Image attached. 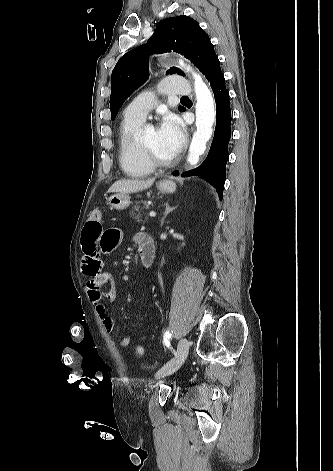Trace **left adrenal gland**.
I'll return each mask as SVG.
<instances>
[{
    "instance_id": "left-adrenal-gland-1",
    "label": "left adrenal gland",
    "mask_w": 333,
    "mask_h": 471,
    "mask_svg": "<svg viewBox=\"0 0 333 471\" xmlns=\"http://www.w3.org/2000/svg\"><path fill=\"white\" fill-rule=\"evenodd\" d=\"M175 208H176V206H175V207H170L169 204H168V202L165 203V212H164L163 217L161 218V224H160L161 227H162L163 224H164V220H165L166 216H167L170 212H172Z\"/></svg>"
}]
</instances>
